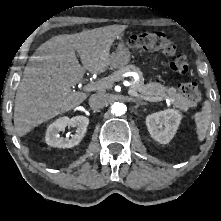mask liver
I'll use <instances>...</instances> for the list:
<instances>
[{
  "label": "liver",
  "mask_w": 221,
  "mask_h": 221,
  "mask_svg": "<svg viewBox=\"0 0 221 221\" xmlns=\"http://www.w3.org/2000/svg\"><path fill=\"white\" fill-rule=\"evenodd\" d=\"M110 25L75 34H62L43 43L31 57L19 84L14 125L22 137L34 127L80 105L87 94L71 87L85 71L100 74L110 66V48L123 31ZM75 51L81 58V65Z\"/></svg>",
  "instance_id": "obj_1"
}]
</instances>
